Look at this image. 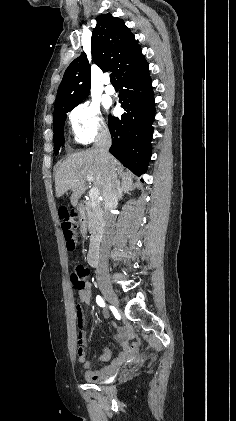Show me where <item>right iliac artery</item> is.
I'll return each instance as SVG.
<instances>
[{"label":"right iliac artery","instance_id":"82829eb1","mask_svg":"<svg viewBox=\"0 0 236 421\" xmlns=\"http://www.w3.org/2000/svg\"><path fill=\"white\" fill-rule=\"evenodd\" d=\"M96 302H97V304L100 306V307H105V303H104V300L101 298V296H97L96 297Z\"/></svg>","mask_w":236,"mask_h":421}]
</instances>
